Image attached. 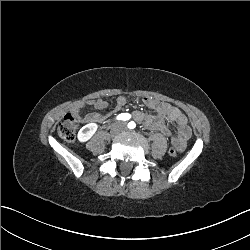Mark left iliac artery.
<instances>
[{
    "label": "left iliac artery",
    "mask_w": 250,
    "mask_h": 250,
    "mask_svg": "<svg viewBox=\"0 0 250 250\" xmlns=\"http://www.w3.org/2000/svg\"><path fill=\"white\" fill-rule=\"evenodd\" d=\"M135 127H136L135 122L131 121V122L128 123V128L129 129H134Z\"/></svg>",
    "instance_id": "obj_1"
}]
</instances>
